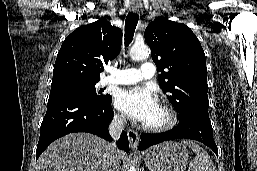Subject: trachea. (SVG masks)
I'll use <instances>...</instances> for the list:
<instances>
[{"label": "trachea", "mask_w": 257, "mask_h": 171, "mask_svg": "<svg viewBox=\"0 0 257 171\" xmlns=\"http://www.w3.org/2000/svg\"><path fill=\"white\" fill-rule=\"evenodd\" d=\"M138 20L139 15L137 13H128L125 21V47H127L133 40Z\"/></svg>", "instance_id": "3493384b"}]
</instances>
